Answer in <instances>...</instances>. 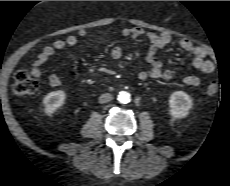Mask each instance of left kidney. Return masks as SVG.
I'll return each instance as SVG.
<instances>
[{
    "label": "left kidney",
    "instance_id": "obj_1",
    "mask_svg": "<svg viewBox=\"0 0 230 186\" xmlns=\"http://www.w3.org/2000/svg\"><path fill=\"white\" fill-rule=\"evenodd\" d=\"M170 114L174 118H183L188 115L193 106L191 97L183 91H175L169 99Z\"/></svg>",
    "mask_w": 230,
    "mask_h": 186
}]
</instances>
